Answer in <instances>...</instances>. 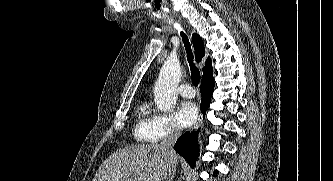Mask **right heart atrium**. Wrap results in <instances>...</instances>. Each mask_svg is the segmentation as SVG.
<instances>
[{"mask_svg": "<svg viewBox=\"0 0 333 181\" xmlns=\"http://www.w3.org/2000/svg\"><path fill=\"white\" fill-rule=\"evenodd\" d=\"M153 132L156 140H162L178 136L181 128L171 115L158 114L153 124Z\"/></svg>", "mask_w": 333, "mask_h": 181, "instance_id": "right-heart-atrium-1", "label": "right heart atrium"}]
</instances>
